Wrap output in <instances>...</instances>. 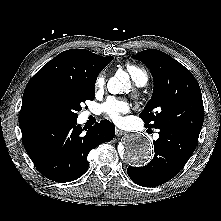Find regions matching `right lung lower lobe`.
Listing matches in <instances>:
<instances>
[{
	"label": "right lung lower lobe",
	"instance_id": "obj_1",
	"mask_svg": "<svg viewBox=\"0 0 221 221\" xmlns=\"http://www.w3.org/2000/svg\"><path fill=\"white\" fill-rule=\"evenodd\" d=\"M76 120L28 118L20 123L25 150L48 179L70 182L79 178L88 169L90 150L115 136L108 120L89 128L77 125Z\"/></svg>",
	"mask_w": 221,
	"mask_h": 221
}]
</instances>
